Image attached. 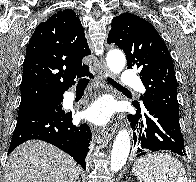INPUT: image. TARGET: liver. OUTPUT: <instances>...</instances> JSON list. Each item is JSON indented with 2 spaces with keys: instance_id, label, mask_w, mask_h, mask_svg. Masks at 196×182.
Returning <instances> with one entry per match:
<instances>
[{
  "instance_id": "1",
  "label": "liver",
  "mask_w": 196,
  "mask_h": 182,
  "mask_svg": "<svg viewBox=\"0 0 196 182\" xmlns=\"http://www.w3.org/2000/svg\"><path fill=\"white\" fill-rule=\"evenodd\" d=\"M79 167L66 153L40 140L19 145L8 157L6 182H77Z\"/></svg>"
}]
</instances>
